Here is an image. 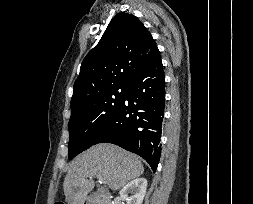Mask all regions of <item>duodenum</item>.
<instances>
[{
  "label": "duodenum",
  "mask_w": 253,
  "mask_h": 204,
  "mask_svg": "<svg viewBox=\"0 0 253 204\" xmlns=\"http://www.w3.org/2000/svg\"><path fill=\"white\" fill-rule=\"evenodd\" d=\"M84 204H112V197L108 192H102L96 198H88Z\"/></svg>",
  "instance_id": "duodenum-1"
}]
</instances>
